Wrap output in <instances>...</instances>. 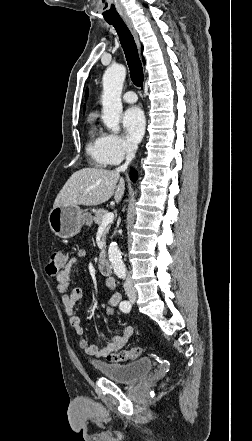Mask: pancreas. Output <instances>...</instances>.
Here are the masks:
<instances>
[{
	"instance_id": "pancreas-1",
	"label": "pancreas",
	"mask_w": 252,
	"mask_h": 441,
	"mask_svg": "<svg viewBox=\"0 0 252 441\" xmlns=\"http://www.w3.org/2000/svg\"><path fill=\"white\" fill-rule=\"evenodd\" d=\"M105 214H107V211L105 209H99V210L95 211L94 217H93L94 222L96 224L100 225L102 223V218ZM107 231H108V229H107ZM104 254H105V249L103 248L100 255H104Z\"/></svg>"
}]
</instances>
